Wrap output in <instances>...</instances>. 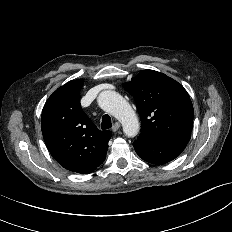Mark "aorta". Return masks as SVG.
<instances>
[{
  "mask_svg": "<svg viewBox=\"0 0 232 232\" xmlns=\"http://www.w3.org/2000/svg\"><path fill=\"white\" fill-rule=\"evenodd\" d=\"M98 104L121 122L126 136L134 137L138 134L140 126L136 113L119 93L112 90L101 92L98 96Z\"/></svg>",
  "mask_w": 232,
  "mask_h": 232,
  "instance_id": "obj_1",
  "label": "aorta"
}]
</instances>
